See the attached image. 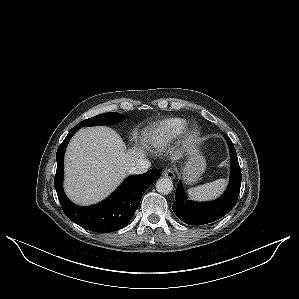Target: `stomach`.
<instances>
[{"label": "stomach", "instance_id": "stomach-1", "mask_svg": "<svg viewBox=\"0 0 299 299\" xmlns=\"http://www.w3.org/2000/svg\"><path fill=\"white\" fill-rule=\"evenodd\" d=\"M206 169L205 158L201 153L193 148L189 152L188 161L183 168V180L186 184L191 185L198 181Z\"/></svg>", "mask_w": 299, "mask_h": 299}]
</instances>
